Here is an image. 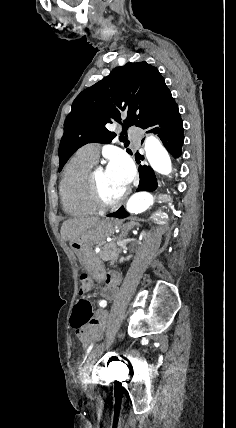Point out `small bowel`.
<instances>
[{
  "label": "small bowel",
  "instance_id": "c3829d8e",
  "mask_svg": "<svg viewBox=\"0 0 236 428\" xmlns=\"http://www.w3.org/2000/svg\"><path fill=\"white\" fill-rule=\"evenodd\" d=\"M121 282V276L116 272H110L105 279V286L102 289L103 298L99 301V310L95 315V322L90 326L76 332L77 336L84 345H88L93 339L99 337L103 332L107 313L104 308L117 294ZM103 303L104 305H101Z\"/></svg>",
  "mask_w": 236,
  "mask_h": 428
}]
</instances>
